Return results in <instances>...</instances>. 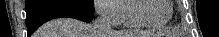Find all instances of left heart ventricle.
<instances>
[{"instance_id":"b2bd125f","label":"left heart ventricle","mask_w":219,"mask_h":37,"mask_svg":"<svg viewBox=\"0 0 219 37\" xmlns=\"http://www.w3.org/2000/svg\"><path fill=\"white\" fill-rule=\"evenodd\" d=\"M139 15L152 22H161L169 15V7L164 0H144L138 5Z\"/></svg>"}]
</instances>
